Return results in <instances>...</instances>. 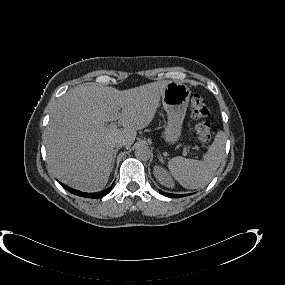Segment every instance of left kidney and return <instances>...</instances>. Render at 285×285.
<instances>
[{
    "label": "left kidney",
    "instance_id": "obj_1",
    "mask_svg": "<svg viewBox=\"0 0 285 285\" xmlns=\"http://www.w3.org/2000/svg\"><path fill=\"white\" fill-rule=\"evenodd\" d=\"M156 180L163 186L173 188L175 186L173 179L162 166H155L153 170Z\"/></svg>",
    "mask_w": 285,
    "mask_h": 285
}]
</instances>
